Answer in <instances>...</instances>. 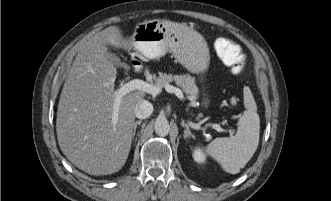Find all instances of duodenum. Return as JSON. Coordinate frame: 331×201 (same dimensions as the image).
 <instances>
[{"label": "duodenum", "instance_id": "1", "mask_svg": "<svg viewBox=\"0 0 331 201\" xmlns=\"http://www.w3.org/2000/svg\"><path fill=\"white\" fill-rule=\"evenodd\" d=\"M142 70V67H141V65L140 64H138L137 66H136V71H141Z\"/></svg>", "mask_w": 331, "mask_h": 201}]
</instances>
